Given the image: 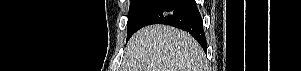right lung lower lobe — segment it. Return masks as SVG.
<instances>
[{"label":"right lung lower lobe","mask_w":301,"mask_h":71,"mask_svg":"<svg viewBox=\"0 0 301 71\" xmlns=\"http://www.w3.org/2000/svg\"><path fill=\"white\" fill-rule=\"evenodd\" d=\"M150 24H166L185 30L206 51L203 21L194 0H158L145 14L136 31Z\"/></svg>","instance_id":"right-lung-lower-lobe-1"}]
</instances>
